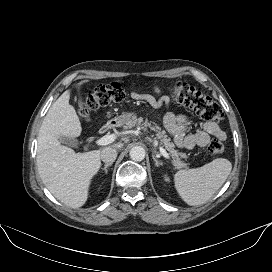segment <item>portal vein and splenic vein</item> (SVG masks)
Wrapping results in <instances>:
<instances>
[{
	"label": "portal vein and splenic vein",
	"instance_id": "1",
	"mask_svg": "<svg viewBox=\"0 0 272 272\" xmlns=\"http://www.w3.org/2000/svg\"><path fill=\"white\" fill-rule=\"evenodd\" d=\"M138 129H140V128H138ZM116 137H117L116 134L105 135V136H103V137L97 139V140H96V144H97L98 146H105V145H108V144L114 142L115 139H116ZM159 150H160V153H161L166 159H170L169 154L166 152V150H165L163 147H160Z\"/></svg>",
	"mask_w": 272,
	"mask_h": 272
}]
</instances>
